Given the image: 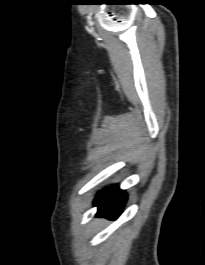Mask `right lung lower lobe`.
Segmentation results:
<instances>
[{"mask_svg":"<svg viewBox=\"0 0 205 265\" xmlns=\"http://www.w3.org/2000/svg\"><path fill=\"white\" fill-rule=\"evenodd\" d=\"M127 195L118 186H112L101 191L95 201L98 207L96 216L116 219L121 214Z\"/></svg>","mask_w":205,"mask_h":265,"instance_id":"obj_1","label":"right lung lower lobe"}]
</instances>
